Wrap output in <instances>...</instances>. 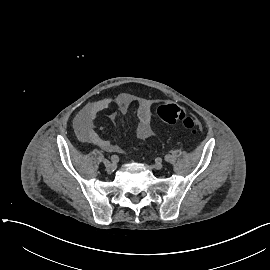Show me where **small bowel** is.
Returning a JSON list of instances; mask_svg holds the SVG:
<instances>
[{
  "mask_svg": "<svg viewBox=\"0 0 270 270\" xmlns=\"http://www.w3.org/2000/svg\"><path fill=\"white\" fill-rule=\"evenodd\" d=\"M113 102L116 103L120 113H125L132 100L127 94H120L115 100L110 97H103L90 102L77 114L74 120V127L80 141L92 143L107 152L117 150V146L108 139L101 137L94 126V121L98 114L107 110ZM137 116L138 124L134 130L136 137L141 140L150 138L153 135L151 100L143 99L139 103ZM115 117L116 113L109 114L110 119Z\"/></svg>",
  "mask_w": 270,
  "mask_h": 270,
  "instance_id": "1",
  "label": "small bowel"
}]
</instances>
